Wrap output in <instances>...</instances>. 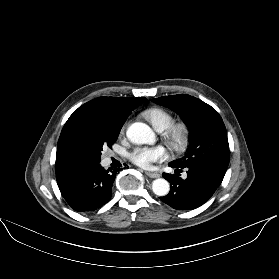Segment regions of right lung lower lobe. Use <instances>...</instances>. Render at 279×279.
Returning a JSON list of instances; mask_svg holds the SVG:
<instances>
[{"mask_svg": "<svg viewBox=\"0 0 279 279\" xmlns=\"http://www.w3.org/2000/svg\"><path fill=\"white\" fill-rule=\"evenodd\" d=\"M119 169L105 170L99 162L77 163L56 172L58 187L72 209L94 211L112 195V184Z\"/></svg>", "mask_w": 279, "mask_h": 279, "instance_id": "right-lung-lower-lobe-1", "label": "right lung lower lobe"}]
</instances>
